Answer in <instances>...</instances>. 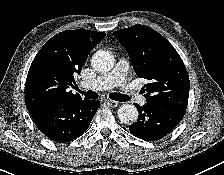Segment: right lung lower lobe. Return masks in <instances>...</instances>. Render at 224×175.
<instances>
[{"mask_svg": "<svg viewBox=\"0 0 224 175\" xmlns=\"http://www.w3.org/2000/svg\"><path fill=\"white\" fill-rule=\"evenodd\" d=\"M99 105V101L78 99L49 104L29 113L43 134L65 143L88 129Z\"/></svg>", "mask_w": 224, "mask_h": 175, "instance_id": "98d812e1", "label": "right lung lower lobe"}]
</instances>
